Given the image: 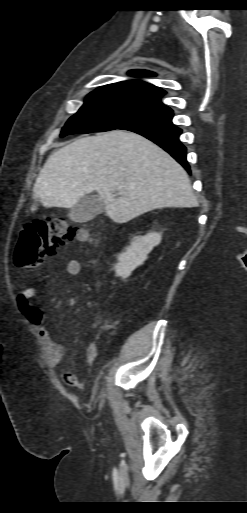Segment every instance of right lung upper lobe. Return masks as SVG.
<instances>
[{"mask_svg":"<svg viewBox=\"0 0 247 513\" xmlns=\"http://www.w3.org/2000/svg\"><path fill=\"white\" fill-rule=\"evenodd\" d=\"M132 76H155L154 73L144 70H132L128 72ZM100 88H108V89H114V90H120L125 91L128 93H132L137 95L138 97L142 98L143 100L154 104V105H160L165 106L161 98L165 95V91L161 88L155 87L152 84H149L144 81L140 80H128V81H122L118 83L109 84L106 86H102Z\"/></svg>","mask_w":247,"mask_h":513,"instance_id":"right-lung-upper-lobe-1","label":"right lung upper lobe"}]
</instances>
